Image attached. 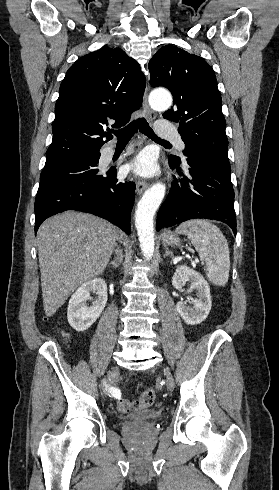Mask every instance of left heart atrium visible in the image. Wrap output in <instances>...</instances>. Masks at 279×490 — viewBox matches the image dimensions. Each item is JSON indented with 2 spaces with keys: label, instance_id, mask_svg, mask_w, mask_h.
<instances>
[{
  "label": "left heart atrium",
  "instance_id": "39dd6f15",
  "mask_svg": "<svg viewBox=\"0 0 279 490\" xmlns=\"http://www.w3.org/2000/svg\"><path fill=\"white\" fill-rule=\"evenodd\" d=\"M127 170L135 176L150 179L159 174V166L153 156L148 152L140 153L127 165Z\"/></svg>",
  "mask_w": 279,
  "mask_h": 490
}]
</instances>
